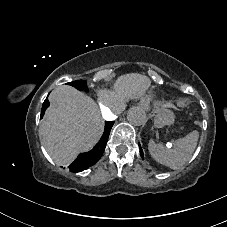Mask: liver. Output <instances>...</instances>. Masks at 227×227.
I'll use <instances>...</instances> for the list:
<instances>
[{
  "label": "liver",
  "mask_w": 227,
  "mask_h": 227,
  "mask_svg": "<svg viewBox=\"0 0 227 227\" xmlns=\"http://www.w3.org/2000/svg\"><path fill=\"white\" fill-rule=\"evenodd\" d=\"M147 76L131 73L118 77L114 91L100 90L99 101L113 107L114 100L142 95L150 86ZM50 107L39 127L45 148L59 165L71 163L80 152L88 151L100 139L104 121L92 98L72 86L56 87L49 95Z\"/></svg>",
  "instance_id": "6515ba94"
}]
</instances>
